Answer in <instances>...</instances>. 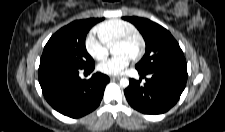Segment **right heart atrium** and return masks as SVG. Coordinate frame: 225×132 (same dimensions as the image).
Here are the masks:
<instances>
[{
  "label": "right heart atrium",
  "instance_id": "1",
  "mask_svg": "<svg viewBox=\"0 0 225 132\" xmlns=\"http://www.w3.org/2000/svg\"><path fill=\"white\" fill-rule=\"evenodd\" d=\"M85 49L95 60L101 61L108 55V47L98 39L93 33H89L85 38Z\"/></svg>",
  "mask_w": 225,
  "mask_h": 132
}]
</instances>
